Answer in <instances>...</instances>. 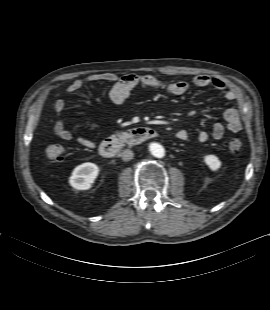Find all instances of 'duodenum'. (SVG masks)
I'll return each mask as SVG.
<instances>
[{
	"instance_id": "duodenum-1",
	"label": "duodenum",
	"mask_w": 270,
	"mask_h": 310,
	"mask_svg": "<svg viewBox=\"0 0 270 310\" xmlns=\"http://www.w3.org/2000/svg\"><path fill=\"white\" fill-rule=\"evenodd\" d=\"M158 136L156 130L148 127H138L130 129L119 135L111 136L104 139L99 146L101 156L110 158L115 156L123 148L136 146L143 142Z\"/></svg>"
}]
</instances>
